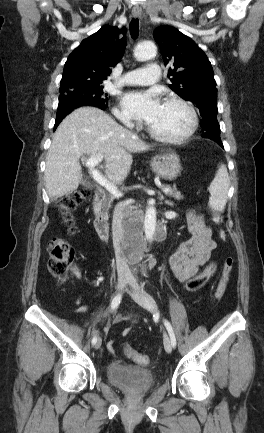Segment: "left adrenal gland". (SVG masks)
<instances>
[{
	"instance_id": "1",
	"label": "left adrenal gland",
	"mask_w": 264,
	"mask_h": 433,
	"mask_svg": "<svg viewBox=\"0 0 264 433\" xmlns=\"http://www.w3.org/2000/svg\"><path fill=\"white\" fill-rule=\"evenodd\" d=\"M165 204L171 207L174 205V203L169 200L165 201Z\"/></svg>"
}]
</instances>
